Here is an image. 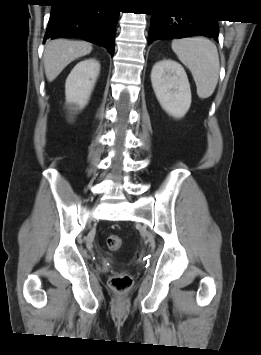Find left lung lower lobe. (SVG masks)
I'll list each match as a JSON object with an SVG mask.
<instances>
[{
  "label": "left lung lower lobe",
  "mask_w": 261,
  "mask_h": 355,
  "mask_svg": "<svg viewBox=\"0 0 261 355\" xmlns=\"http://www.w3.org/2000/svg\"><path fill=\"white\" fill-rule=\"evenodd\" d=\"M218 22L214 19L153 15L148 43L160 38H184L201 35L218 41Z\"/></svg>",
  "instance_id": "0a47b994"
}]
</instances>
